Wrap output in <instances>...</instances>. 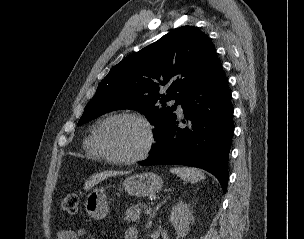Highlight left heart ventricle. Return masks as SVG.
<instances>
[{"label":"left heart ventricle","instance_id":"b2bd125f","mask_svg":"<svg viewBox=\"0 0 304 239\" xmlns=\"http://www.w3.org/2000/svg\"><path fill=\"white\" fill-rule=\"evenodd\" d=\"M103 146L112 154L130 157L138 154L145 146V127L130 118H120L107 123L100 134Z\"/></svg>","mask_w":304,"mask_h":239}]
</instances>
